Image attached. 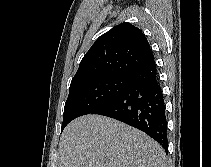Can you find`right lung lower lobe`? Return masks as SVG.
I'll return each mask as SVG.
<instances>
[{
  "label": "right lung lower lobe",
  "instance_id": "obj_1",
  "mask_svg": "<svg viewBox=\"0 0 211 167\" xmlns=\"http://www.w3.org/2000/svg\"><path fill=\"white\" fill-rule=\"evenodd\" d=\"M129 86L93 114L108 116L140 129L167 152V121L163 92L155 63L128 77Z\"/></svg>",
  "mask_w": 211,
  "mask_h": 167
}]
</instances>
